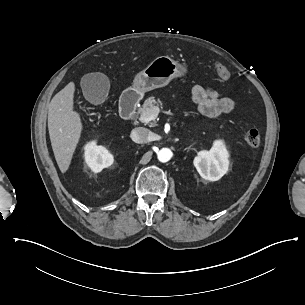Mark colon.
I'll return each instance as SVG.
<instances>
[{
  "label": "colon",
  "instance_id": "1",
  "mask_svg": "<svg viewBox=\"0 0 305 305\" xmlns=\"http://www.w3.org/2000/svg\"><path fill=\"white\" fill-rule=\"evenodd\" d=\"M215 75L222 83H228L231 79L230 70L221 62H216L214 66ZM243 140L252 147H258L261 143L260 132L256 129H250L241 133Z\"/></svg>",
  "mask_w": 305,
  "mask_h": 305
}]
</instances>
